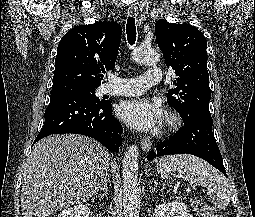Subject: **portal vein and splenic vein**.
Wrapping results in <instances>:
<instances>
[{"label": "portal vein and splenic vein", "instance_id": "obj_1", "mask_svg": "<svg viewBox=\"0 0 255 217\" xmlns=\"http://www.w3.org/2000/svg\"><path fill=\"white\" fill-rule=\"evenodd\" d=\"M187 191L189 192V191H190V189H187ZM202 192H204V193H205V190H202Z\"/></svg>", "mask_w": 255, "mask_h": 217}]
</instances>
